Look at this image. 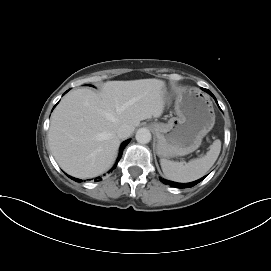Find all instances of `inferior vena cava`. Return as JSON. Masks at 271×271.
Returning a JSON list of instances; mask_svg holds the SVG:
<instances>
[{
  "instance_id": "obj_1",
  "label": "inferior vena cava",
  "mask_w": 271,
  "mask_h": 271,
  "mask_svg": "<svg viewBox=\"0 0 271 271\" xmlns=\"http://www.w3.org/2000/svg\"><path fill=\"white\" fill-rule=\"evenodd\" d=\"M133 132V129L128 126V125H122L118 128L117 130V136L122 139V138H127L129 137Z\"/></svg>"
}]
</instances>
